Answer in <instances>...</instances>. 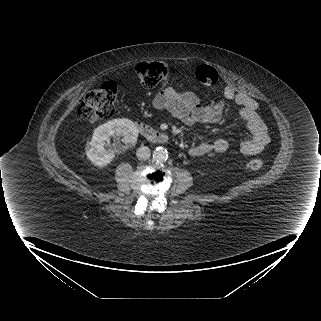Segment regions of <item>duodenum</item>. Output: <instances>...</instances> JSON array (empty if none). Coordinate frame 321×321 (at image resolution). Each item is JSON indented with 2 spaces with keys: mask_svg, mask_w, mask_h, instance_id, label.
Instances as JSON below:
<instances>
[{
  "mask_svg": "<svg viewBox=\"0 0 321 321\" xmlns=\"http://www.w3.org/2000/svg\"><path fill=\"white\" fill-rule=\"evenodd\" d=\"M136 126L140 133L149 141L158 144H166L169 141L167 134L159 131L143 121H137Z\"/></svg>",
  "mask_w": 321,
  "mask_h": 321,
  "instance_id": "duodenum-1",
  "label": "duodenum"
}]
</instances>
